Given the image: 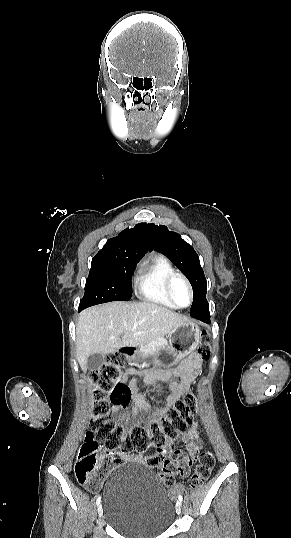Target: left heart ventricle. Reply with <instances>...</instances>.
<instances>
[{
    "label": "left heart ventricle",
    "mask_w": 291,
    "mask_h": 538,
    "mask_svg": "<svg viewBox=\"0 0 291 538\" xmlns=\"http://www.w3.org/2000/svg\"><path fill=\"white\" fill-rule=\"evenodd\" d=\"M173 294L177 304L186 306L189 303V291L183 281L177 280L174 283Z\"/></svg>",
    "instance_id": "b2bd125f"
}]
</instances>
